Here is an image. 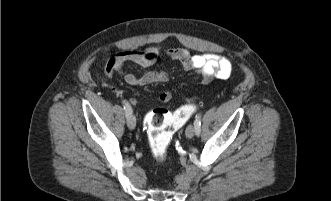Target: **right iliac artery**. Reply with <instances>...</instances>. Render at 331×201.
Returning <instances> with one entry per match:
<instances>
[{"mask_svg":"<svg viewBox=\"0 0 331 201\" xmlns=\"http://www.w3.org/2000/svg\"><path fill=\"white\" fill-rule=\"evenodd\" d=\"M125 116L128 118L132 114L131 105L127 101H123Z\"/></svg>","mask_w":331,"mask_h":201,"instance_id":"right-iliac-artery-1","label":"right iliac artery"}]
</instances>
